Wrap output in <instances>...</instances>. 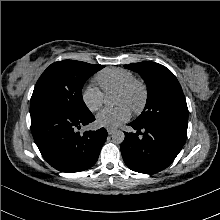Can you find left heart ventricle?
<instances>
[{"label": "left heart ventricle", "mask_w": 220, "mask_h": 220, "mask_svg": "<svg viewBox=\"0 0 220 220\" xmlns=\"http://www.w3.org/2000/svg\"><path fill=\"white\" fill-rule=\"evenodd\" d=\"M141 95L139 90H134L132 93L129 95H121V94H116L115 95V105H126L129 107L131 110L135 106H137L140 102Z\"/></svg>", "instance_id": "1"}]
</instances>
